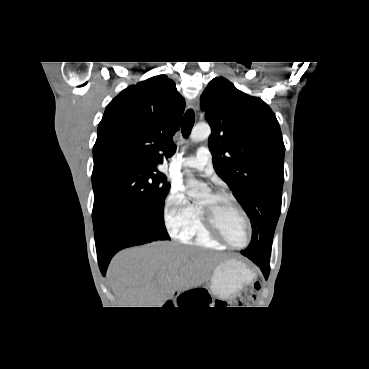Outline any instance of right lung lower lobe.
Masks as SVG:
<instances>
[{"label": "right lung lower lobe", "mask_w": 369, "mask_h": 369, "mask_svg": "<svg viewBox=\"0 0 369 369\" xmlns=\"http://www.w3.org/2000/svg\"><path fill=\"white\" fill-rule=\"evenodd\" d=\"M94 232L98 263L103 275L119 250L161 240L141 218L127 212L112 214Z\"/></svg>", "instance_id": "98d812e1"}]
</instances>
